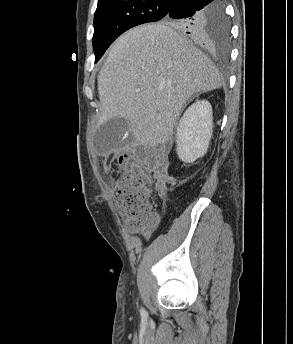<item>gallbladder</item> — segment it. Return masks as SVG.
I'll return each mask as SVG.
<instances>
[{"instance_id": "1", "label": "gallbladder", "mask_w": 293, "mask_h": 344, "mask_svg": "<svg viewBox=\"0 0 293 344\" xmlns=\"http://www.w3.org/2000/svg\"><path fill=\"white\" fill-rule=\"evenodd\" d=\"M125 118H112L104 122L94 135V147L98 153L106 154L116 148L128 129Z\"/></svg>"}]
</instances>
